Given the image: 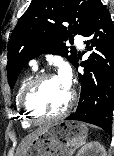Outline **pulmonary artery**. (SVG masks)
Returning a JSON list of instances; mask_svg holds the SVG:
<instances>
[{
    "label": "pulmonary artery",
    "instance_id": "e3ab8cb5",
    "mask_svg": "<svg viewBox=\"0 0 114 156\" xmlns=\"http://www.w3.org/2000/svg\"><path fill=\"white\" fill-rule=\"evenodd\" d=\"M75 42H76V44H77L80 48L83 47V39H82L81 36H79V35L75 36ZM30 64H31L34 68H36L37 62H36L35 60H32Z\"/></svg>",
    "mask_w": 114,
    "mask_h": 156
}]
</instances>
